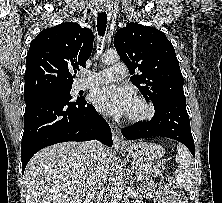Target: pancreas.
<instances>
[{
	"label": "pancreas",
	"mask_w": 222,
	"mask_h": 203,
	"mask_svg": "<svg viewBox=\"0 0 222 203\" xmlns=\"http://www.w3.org/2000/svg\"><path fill=\"white\" fill-rule=\"evenodd\" d=\"M134 165L136 167L134 173L137 180H141L148 175H152L154 177L161 176L164 170L163 164L152 161H135Z\"/></svg>",
	"instance_id": "pancreas-1"
}]
</instances>
